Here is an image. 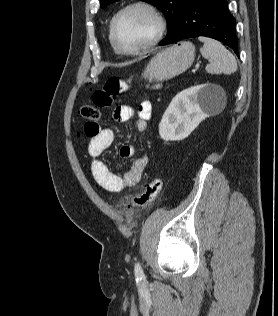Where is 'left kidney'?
I'll return each mask as SVG.
<instances>
[{"instance_id":"obj_1","label":"left kidney","mask_w":278,"mask_h":316,"mask_svg":"<svg viewBox=\"0 0 278 316\" xmlns=\"http://www.w3.org/2000/svg\"><path fill=\"white\" fill-rule=\"evenodd\" d=\"M223 96L224 90L210 83L181 91L172 99L161 119L160 137L165 141L185 139Z\"/></svg>"}]
</instances>
